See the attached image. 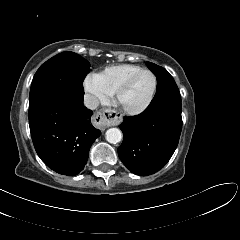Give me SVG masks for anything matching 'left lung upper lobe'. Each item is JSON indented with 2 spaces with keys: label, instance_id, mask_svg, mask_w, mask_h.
<instances>
[{
  "label": "left lung upper lobe",
  "instance_id": "5c2ea615",
  "mask_svg": "<svg viewBox=\"0 0 240 240\" xmlns=\"http://www.w3.org/2000/svg\"><path fill=\"white\" fill-rule=\"evenodd\" d=\"M147 66L157 77V91L151 102L173 99L181 100L178 87L172 76L162 67L147 62Z\"/></svg>",
  "mask_w": 240,
  "mask_h": 240
}]
</instances>
